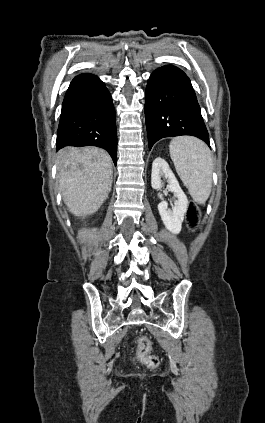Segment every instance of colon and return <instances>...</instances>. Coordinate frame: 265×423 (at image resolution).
I'll use <instances>...</instances> for the list:
<instances>
[{
  "label": "colon",
  "mask_w": 265,
  "mask_h": 423,
  "mask_svg": "<svg viewBox=\"0 0 265 423\" xmlns=\"http://www.w3.org/2000/svg\"><path fill=\"white\" fill-rule=\"evenodd\" d=\"M187 220L188 226L191 230L195 231L199 228L201 214L199 209L193 203H189ZM150 349L151 344L149 339L147 337H141L139 341V357L142 358L148 366L155 367L158 364V358L156 356L149 355Z\"/></svg>",
  "instance_id": "obj_1"
}]
</instances>
